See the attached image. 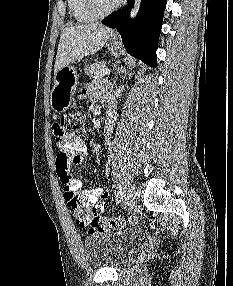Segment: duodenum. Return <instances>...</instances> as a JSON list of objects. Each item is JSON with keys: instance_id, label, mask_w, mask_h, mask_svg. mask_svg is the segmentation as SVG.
<instances>
[{"instance_id": "obj_1", "label": "duodenum", "mask_w": 233, "mask_h": 286, "mask_svg": "<svg viewBox=\"0 0 233 286\" xmlns=\"http://www.w3.org/2000/svg\"><path fill=\"white\" fill-rule=\"evenodd\" d=\"M113 119H114V112H113L111 106H108L107 111H106V116H105L106 124L108 126H110Z\"/></svg>"}]
</instances>
